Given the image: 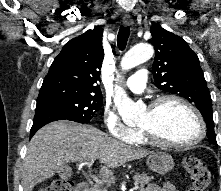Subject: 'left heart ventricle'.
<instances>
[{"label":"left heart ventricle","mask_w":221,"mask_h":191,"mask_svg":"<svg viewBox=\"0 0 221 191\" xmlns=\"http://www.w3.org/2000/svg\"><path fill=\"white\" fill-rule=\"evenodd\" d=\"M139 127L152 130L160 139L172 143L191 141L199 133L196 118L177 102H166L155 112L148 109Z\"/></svg>","instance_id":"b2bd125f"}]
</instances>
